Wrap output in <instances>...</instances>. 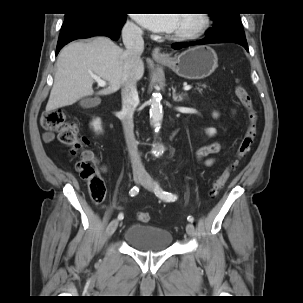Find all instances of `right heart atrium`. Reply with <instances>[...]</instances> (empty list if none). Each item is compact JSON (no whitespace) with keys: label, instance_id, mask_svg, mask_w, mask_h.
Returning a JSON list of instances; mask_svg holds the SVG:
<instances>
[{"label":"right heart atrium","instance_id":"right-heart-atrium-1","mask_svg":"<svg viewBox=\"0 0 303 303\" xmlns=\"http://www.w3.org/2000/svg\"><path fill=\"white\" fill-rule=\"evenodd\" d=\"M125 30L127 33L134 35H138L141 33V29L133 22H127L125 25Z\"/></svg>","mask_w":303,"mask_h":303}]
</instances>
